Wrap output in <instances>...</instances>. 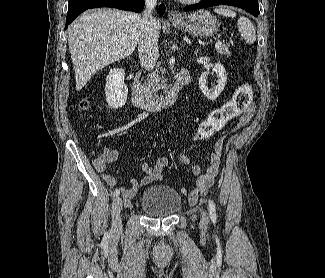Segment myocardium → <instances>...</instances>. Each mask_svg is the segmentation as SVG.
Segmentation results:
<instances>
[{"label": "myocardium", "instance_id": "1", "mask_svg": "<svg viewBox=\"0 0 325 278\" xmlns=\"http://www.w3.org/2000/svg\"><path fill=\"white\" fill-rule=\"evenodd\" d=\"M180 1L183 3H186V4H195V3H199L203 0H180Z\"/></svg>", "mask_w": 325, "mask_h": 278}]
</instances>
